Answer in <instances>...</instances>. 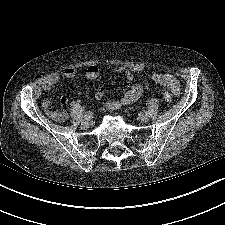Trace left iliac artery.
I'll return each mask as SVG.
<instances>
[{
	"mask_svg": "<svg viewBox=\"0 0 225 225\" xmlns=\"http://www.w3.org/2000/svg\"><path fill=\"white\" fill-rule=\"evenodd\" d=\"M150 112L148 111V109H143L141 110V115H148Z\"/></svg>",
	"mask_w": 225,
	"mask_h": 225,
	"instance_id": "1",
	"label": "left iliac artery"
}]
</instances>
